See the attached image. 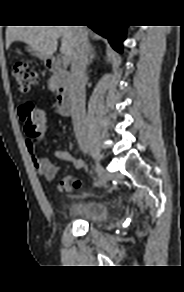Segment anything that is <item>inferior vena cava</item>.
Instances as JSON below:
<instances>
[{
    "label": "inferior vena cava",
    "instance_id": "obj_1",
    "mask_svg": "<svg viewBox=\"0 0 184 292\" xmlns=\"http://www.w3.org/2000/svg\"><path fill=\"white\" fill-rule=\"evenodd\" d=\"M77 44L71 59L70 96L73 105L72 122L74 132L81 149H88L87 123L85 117V85L87 82L86 67L88 64L87 31L84 26H76Z\"/></svg>",
    "mask_w": 184,
    "mask_h": 292
}]
</instances>
